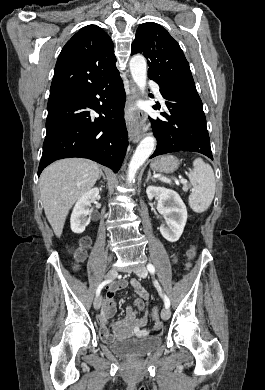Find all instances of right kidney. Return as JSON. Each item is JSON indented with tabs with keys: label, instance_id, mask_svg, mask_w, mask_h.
Instances as JSON below:
<instances>
[{
	"label": "right kidney",
	"instance_id": "ca27d5eb",
	"mask_svg": "<svg viewBox=\"0 0 265 390\" xmlns=\"http://www.w3.org/2000/svg\"><path fill=\"white\" fill-rule=\"evenodd\" d=\"M99 189L93 188L83 194L76 202L70 219L71 230L74 233L84 232L86 226L90 223V210L92 201L98 196Z\"/></svg>",
	"mask_w": 265,
	"mask_h": 390
}]
</instances>
